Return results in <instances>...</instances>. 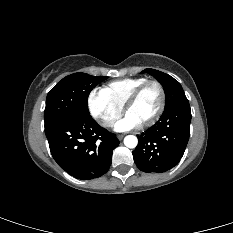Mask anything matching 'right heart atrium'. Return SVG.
<instances>
[{
	"label": "right heart atrium",
	"instance_id": "right-heart-atrium-1",
	"mask_svg": "<svg viewBox=\"0 0 233 233\" xmlns=\"http://www.w3.org/2000/svg\"><path fill=\"white\" fill-rule=\"evenodd\" d=\"M91 116L103 127H110L122 114V106L111 101L102 90H92L88 95Z\"/></svg>",
	"mask_w": 233,
	"mask_h": 233
}]
</instances>
